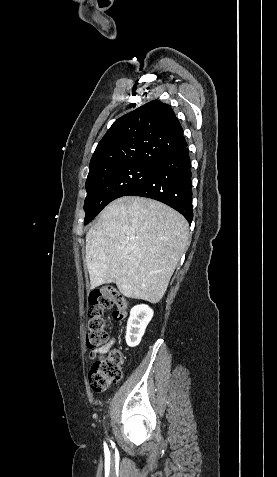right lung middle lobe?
Segmentation results:
<instances>
[{
  "label": "right lung middle lobe",
  "instance_id": "right-lung-middle-lobe-1",
  "mask_svg": "<svg viewBox=\"0 0 277 477\" xmlns=\"http://www.w3.org/2000/svg\"><path fill=\"white\" fill-rule=\"evenodd\" d=\"M155 167L153 164L134 162L89 173L86 180L84 224L93 220L111 201L127 195L145 181Z\"/></svg>",
  "mask_w": 277,
  "mask_h": 477
}]
</instances>
